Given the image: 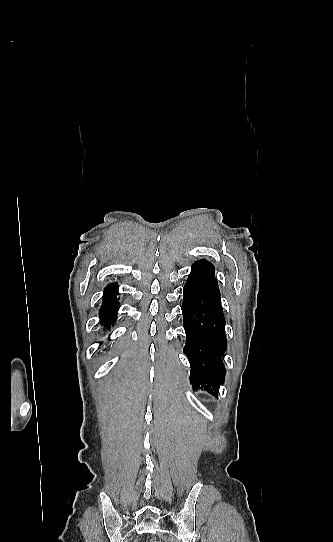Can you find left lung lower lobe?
I'll return each mask as SVG.
<instances>
[{
	"instance_id": "0a47b994",
	"label": "left lung lower lobe",
	"mask_w": 333,
	"mask_h": 542,
	"mask_svg": "<svg viewBox=\"0 0 333 542\" xmlns=\"http://www.w3.org/2000/svg\"><path fill=\"white\" fill-rule=\"evenodd\" d=\"M214 266L196 261L184 286L182 314L186 344L184 353L190 360V382L193 389L218 393L226 370L222 356L227 347L219 286Z\"/></svg>"
}]
</instances>
